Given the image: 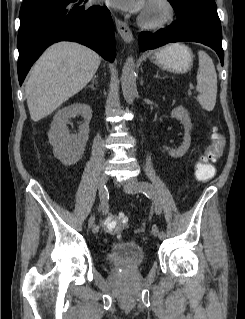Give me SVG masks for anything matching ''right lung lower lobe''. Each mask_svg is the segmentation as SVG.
<instances>
[{"instance_id": "98d812e1", "label": "right lung lower lobe", "mask_w": 245, "mask_h": 319, "mask_svg": "<svg viewBox=\"0 0 245 319\" xmlns=\"http://www.w3.org/2000/svg\"><path fill=\"white\" fill-rule=\"evenodd\" d=\"M84 0H25L20 8L18 77L23 83L30 67L51 44L75 41L110 62L115 58L114 24L105 6Z\"/></svg>"}]
</instances>
